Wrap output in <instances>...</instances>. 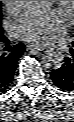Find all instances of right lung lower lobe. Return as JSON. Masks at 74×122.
Here are the masks:
<instances>
[{"label": "right lung lower lobe", "mask_w": 74, "mask_h": 122, "mask_svg": "<svg viewBox=\"0 0 74 122\" xmlns=\"http://www.w3.org/2000/svg\"><path fill=\"white\" fill-rule=\"evenodd\" d=\"M3 42L5 40L0 41V92L5 91L10 86L18 60L25 52L24 44H17L10 47L9 52L4 53L2 51Z\"/></svg>", "instance_id": "obj_1"}]
</instances>
